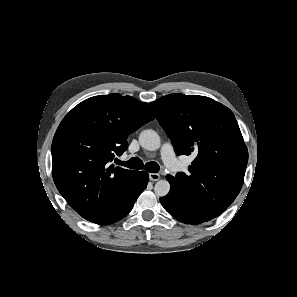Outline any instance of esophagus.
I'll use <instances>...</instances> for the list:
<instances>
[{
    "mask_svg": "<svg viewBox=\"0 0 297 297\" xmlns=\"http://www.w3.org/2000/svg\"><path fill=\"white\" fill-rule=\"evenodd\" d=\"M160 175L157 173H149V179L150 181H158L160 179Z\"/></svg>",
    "mask_w": 297,
    "mask_h": 297,
    "instance_id": "1",
    "label": "esophagus"
}]
</instances>
